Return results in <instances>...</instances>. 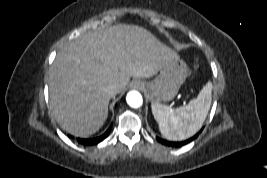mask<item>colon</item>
Returning <instances> with one entry per match:
<instances>
[{
	"instance_id": "obj_1",
	"label": "colon",
	"mask_w": 267,
	"mask_h": 178,
	"mask_svg": "<svg viewBox=\"0 0 267 178\" xmlns=\"http://www.w3.org/2000/svg\"><path fill=\"white\" fill-rule=\"evenodd\" d=\"M195 58H196V59H198V56H197V55H195Z\"/></svg>"
}]
</instances>
